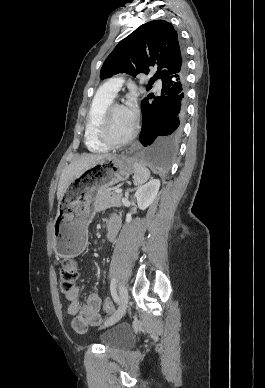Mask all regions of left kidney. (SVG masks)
I'll list each match as a JSON object with an SVG mask.
<instances>
[{"instance_id": "5707ae66", "label": "left kidney", "mask_w": 265, "mask_h": 388, "mask_svg": "<svg viewBox=\"0 0 265 388\" xmlns=\"http://www.w3.org/2000/svg\"><path fill=\"white\" fill-rule=\"evenodd\" d=\"M160 188V180H150L148 184H145V186H140L138 188L135 196L138 204V208L140 210H146V208H149L150 204H153L157 194L158 190ZM132 220V214H126V222H131Z\"/></svg>"}]
</instances>
